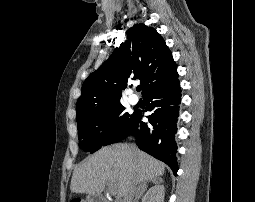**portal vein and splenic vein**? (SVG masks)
Listing matches in <instances>:
<instances>
[{"label":"portal vein and splenic vein","mask_w":255,"mask_h":202,"mask_svg":"<svg viewBox=\"0 0 255 202\" xmlns=\"http://www.w3.org/2000/svg\"><path fill=\"white\" fill-rule=\"evenodd\" d=\"M110 192L112 193V194H116V189H115V187H114V184L113 183H111L110 182Z\"/></svg>","instance_id":"18ae733b"}]
</instances>
